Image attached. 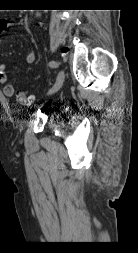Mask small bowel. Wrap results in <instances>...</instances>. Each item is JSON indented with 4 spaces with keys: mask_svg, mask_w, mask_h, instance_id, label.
I'll list each match as a JSON object with an SVG mask.
<instances>
[{
    "mask_svg": "<svg viewBox=\"0 0 138 253\" xmlns=\"http://www.w3.org/2000/svg\"><path fill=\"white\" fill-rule=\"evenodd\" d=\"M9 25V21L5 19H0V35L4 33L7 26ZM25 61L28 64H32L35 61V54L33 51H29L25 55ZM18 64H14L12 68H17ZM0 83L3 84V93L12 97L15 93V88L13 84L9 82V76L7 72V67L5 63H0Z\"/></svg>",
    "mask_w": 138,
    "mask_h": 253,
    "instance_id": "1",
    "label": "small bowel"
}]
</instances>
